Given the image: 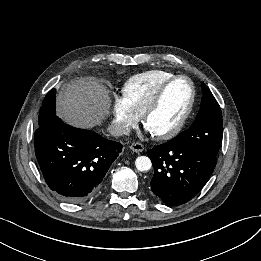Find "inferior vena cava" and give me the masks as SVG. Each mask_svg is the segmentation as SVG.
<instances>
[{
	"label": "inferior vena cava",
	"mask_w": 261,
	"mask_h": 261,
	"mask_svg": "<svg viewBox=\"0 0 261 261\" xmlns=\"http://www.w3.org/2000/svg\"><path fill=\"white\" fill-rule=\"evenodd\" d=\"M108 130L114 136L128 135L130 133V128L121 122H113Z\"/></svg>",
	"instance_id": "inferior-vena-cava-1"
}]
</instances>
